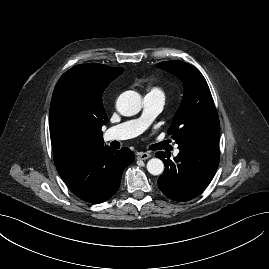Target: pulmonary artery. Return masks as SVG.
<instances>
[{"label":"pulmonary artery","instance_id":"pulmonary-artery-1","mask_svg":"<svg viewBox=\"0 0 269 269\" xmlns=\"http://www.w3.org/2000/svg\"><path fill=\"white\" fill-rule=\"evenodd\" d=\"M144 111L140 118L123 122L109 128L105 134V140H123L138 136L150 124V122L161 111L165 103V97L160 92L148 93L143 100ZM179 150H175L178 154Z\"/></svg>","mask_w":269,"mask_h":269}]
</instances>
